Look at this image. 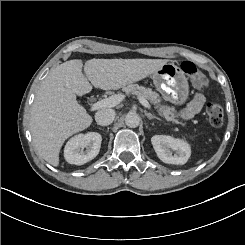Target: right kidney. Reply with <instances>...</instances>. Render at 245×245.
<instances>
[{
  "label": "right kidney",
  "instance_id": "right-kidney-1",
  "mask_svg": "<svg viewBox=\"0 0 245 245\" xmlns=\"http://www.w3.org/2000/svg\"><path fill=\"white\" fill-rule=\"evenodd\" d=\"M101 141L102 137L97 132H88L72 137L64 149L65 160L75 165H83L91 161L98 155Z\"/></svg>",
  "mask_w": 245,
  "mask_h": 245
}]
</instances>
